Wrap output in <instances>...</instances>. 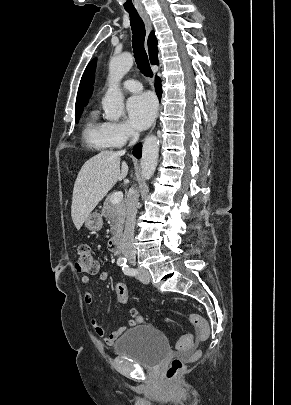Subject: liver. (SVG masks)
Returning <instances> with one entry per match:
<instances>
[{"instance_id":"1","label":"liver","mask_w":291,"mask_h":405,"mask_svg":"<svg viewBox=\"0 0 291 405\" xmlns=\"http://www.w3.org/2000/svg\"><path fill=\"white\" fill-rule=\"evenodd\" d=\"M122 155V152L101 151L82 166L74 184L71 205V217L77 230L112 187L127 176L125 161L120 169Z\"/></svg>"}]
</instances>
